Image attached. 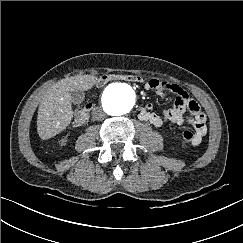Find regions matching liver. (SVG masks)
I'll use <instances>...</instances> for the list:
<instances>
[{"instance_id":"6515ba94","label":"liver","mask_w":243,"mask_h":243,"mask_svg":"<svg viewBox=\"0 0 243 243\" xmlns=\"http://www.w3.org/2000/svg\"><path fill=\"white\" fill-rule=\"evenodd\" d=\"M93 76H75L54 84L44 94L38 108L37 132L42 140L52 138L70 124L73 117L71 91L89 87Z\"/></svg>"}]
</instances>
